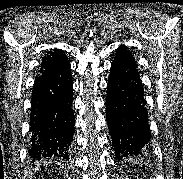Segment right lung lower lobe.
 Here are the masks:
<instances>
[{"label":"right lung lower lobe","instance_id":"98d812e1","mask_svg":"<svg viewBox=\"0 0 183 179\" xmlns=\"http://www.w3.org/2000/svg\"><path fill=\"white\" fill-rule=\"evenodd\" d=\"M73 82L70 63L58 68H40L31 97L29 156L34 160L62 157L74 134Z\"/></svg>","mask_w":183,"mask_h":179}]
</instances>
